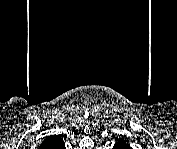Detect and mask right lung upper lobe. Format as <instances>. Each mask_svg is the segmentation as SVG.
<instances>
[{
    "label": "right lung upper lobe",
    "instance_id": "1",
    "mask_svg": "<svg viewBox=\"0 0 177 149\" xmlns=\"http://www.w3.org/2000/svg\"><path fill=\"white\" fill-rule=\"evenodd\" d=\"M57 137V140H52L50 143H46L47 145L50 144V147L48 148H54V149H58L56 147H53L54 145H56L57 143H61L62 142V139L59 137V136H56ZM44 147H47V146H44Z\"/></svg>",
    "mask_w": 177,
    "mask_h": 149
}]
</instances>
